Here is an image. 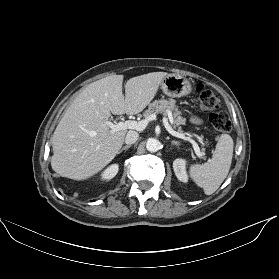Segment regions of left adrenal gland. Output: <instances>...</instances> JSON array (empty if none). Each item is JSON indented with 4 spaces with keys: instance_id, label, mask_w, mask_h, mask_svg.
<instances>
[{
    "instance_id": "a2214340",
    "label": "left adrenal gland",
    "mask_w": 279,
    "mask_h": 279,
    "mask_svg": "<svg viewBox=\"0 0 279 279\" xmlns=\"http://www.w3.org/2000/svg\"><path fill=\"white\" fill-rule=\"evenodd\" d=\"M171 144H172V145H175V146H178V145H179V143H178V142H175V141H172Z\"/></svg>"
}]
</instances>
